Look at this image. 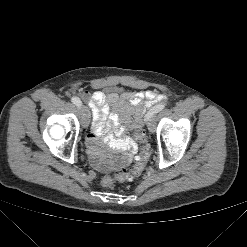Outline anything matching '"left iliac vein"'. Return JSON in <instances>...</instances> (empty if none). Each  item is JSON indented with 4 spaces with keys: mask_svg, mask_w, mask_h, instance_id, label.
<instances>
[{
    "mask_svg": "<svg viewBox=\"0 0 247 247\" xmlns=\"http://www.w3.org/2000/svg\"><path fill=\"white\" fill-rule=\"evenodd\" d=\"M146 124L149 128L150 131H153L155 129V119H154V116H150L148 117L146 120Z\"/></svg>",
    "mask_w": 247,
    "mask_h": 247,
    "instance_id": "left-iliac-vein-1",
    "label": "left iliac vein"
}]
</instances>
